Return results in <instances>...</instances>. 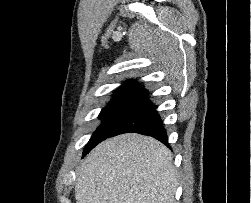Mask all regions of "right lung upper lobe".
Wrapping results in <instances>:
<instances>
[{"label":"right lung upper lobe","mask_w":251,"mask_h":203,"mask_svg":"<svg viewBox=\"0 0 251 203\" xmlns=\"http://www.w3.org/2000/svg\"><path fill=\"white\" fill-rule=\"evenodd\" d=\"M107 107L138 108L145 112L153 109L154 105L148 99L147 90L138 86L137 82L128 80L114 94Z\"/></svg>","instance_id":"right-lung-upper-lobe-1"}]
</instances>
